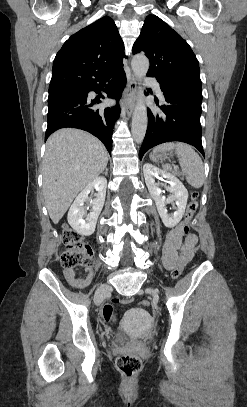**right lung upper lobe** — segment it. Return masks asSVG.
<instances>
[{"instance_id": "obj_1", "label": "right lung upper lobe", "mask_w": 247, "mask_h": 407, "mask_svg": "<svg viewBox=\"0 0 247 407\" xmlns=\"http://www.w3.org/2000/svg\"><path fill=\"white\" fill-rule=\"evenodd\" d=\"M124 44L112 18L104 16L72 35L57 53L49 90L85 87L123 67Z\"/></svg>"}]
</instances>
